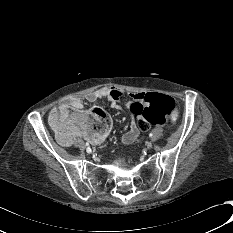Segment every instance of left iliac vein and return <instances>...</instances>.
I'll return each mask as SVG.
<instances>
[{"mask_svg": "<svg viewBox=\"0 0 233 233\" xmlns=\"http://www.w3.org/2000/svg\"><path fill=\"white\" fill-rule=\"evenodd\" d=\"M152 147H153L152 142H147V143H146V148H147V149H151Z\"/></svg>", "mask_w": 233, "mask_h": 233, "instance_id": "4c4485c4", "label": "left iliac vein"}]
</instances>
